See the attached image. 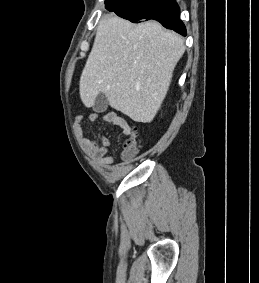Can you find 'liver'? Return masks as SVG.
<instances>
[{
	"instance_id": "liver-1",
	"label": "liver",
	"mask_w": 259,
	"mask_h": 283,
	"mask_svg": "<svg viewBox=\"0 0 259 283\" xmlns=\"http://www.w3.org/2000/svg\"><path fill=\"white\" fill-rule=\"evenodd\" d=\"M184 40L155 21L137 25L103 17L82 71L80 97L92 107L99 93L135 122L150 123L169 89Z\"/></svg>"
}]
</instances>
